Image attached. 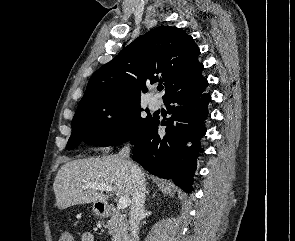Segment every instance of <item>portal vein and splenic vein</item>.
<instances>
[{"label": "portal vein and splenic vein", "instance_id": "obj_1", "mask_svg": "<svg viewBox=\"0 0 295 241\" xmlns=\"http://www.w3.org/2000/svg\"><path fill=\"white\" fill-rule=\"evenodd\" d=\"M84 189H87V188H94L96 190H100L102 192H112L113 191V187L110 186V185H105V184H88L86 186H83ZM131 200L128 196H124V197H121L118 201V204H117V208L118 209H125L129 206Z\"/></svg>", "mask_w": 295, "mask_h": 241}]
</instances>
